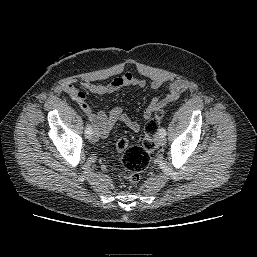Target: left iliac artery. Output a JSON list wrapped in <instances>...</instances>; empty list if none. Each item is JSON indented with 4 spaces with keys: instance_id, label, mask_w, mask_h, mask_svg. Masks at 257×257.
I'll list each match as a JSON object with an SVG mask.
<instances>
[{
    "instance_id": "1",
    "label": "left iliac artery",
    "mask_w": 257,
    "mask_h": 257,
    "mask_svg": "<svg viewBox=\"0 0 257 257\" xmlns=\"http://www.w3.org/2000/svg\"><path fill=\"white\" fill-rule=\"evenodd\" d=\"M159 134L162 136H166V130L164 128L159 129Z\"/></svg>"
}]
</instances>
